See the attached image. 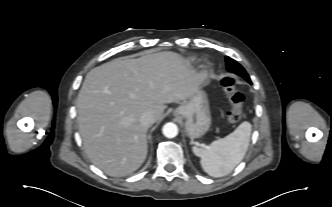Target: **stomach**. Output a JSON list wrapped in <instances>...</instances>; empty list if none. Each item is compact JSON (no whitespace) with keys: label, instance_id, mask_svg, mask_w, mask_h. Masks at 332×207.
Wrapping results in <instances>:
<instances>
[{"label":"stomach","instance_id":"obj_1","mask_svg":"<svg viewBox=\"0 0 332 207\" xmlns=\"http://www.w3.org/2000/svg\"><path fill=\"white\" fill-rule=\"evenodd\" d=\"M173 114L176 118L185 120V133L191 139L203 136L211 125L207 94L200 88L189 100L177 107Z\"/></svg>","mask_w":332,"mask_h":207}]
</instances>
